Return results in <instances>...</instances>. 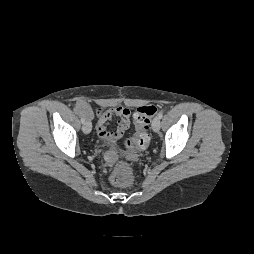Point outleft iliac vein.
I'll list each match as a JSON object with an SVG mask.
<instances>
[{"mask_svg": "<svg viewBox=\"0 0 254 254\" xmlns=\"http://www.w3.org/2000/svg\"><path fill=\"white\" fill-rule=\"evenodd\" d=\"M161 121L158 116H156L152 121V129L154 132H158L160 130Z\"/></svg>", "mask_w": 254, "mask_h": 254, "instance_id": "left-iliac-vein-1", "label": "left iliac vein"}]
</instances>
